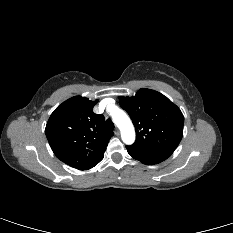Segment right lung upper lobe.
Returning <instances> with one entry per match:
<instances>
[{"mask_svg":"<svg viewBox=\"0 0 233 233\" xmlns=\"http://www.w3.org/2000/svg\"><path fill=\"white\" fill-rule=\"evenodd\" d=\"M96 101L72 97L51 114L45 129L54 154L80 170L97 165L104 157L109 138L114 135L104 126V116L93 112Z\"/></svg>","mask_w":233,"mask_h":233,"instance_id":"cb5924a9","label":"right lung upper lobe"}]
</instances>
